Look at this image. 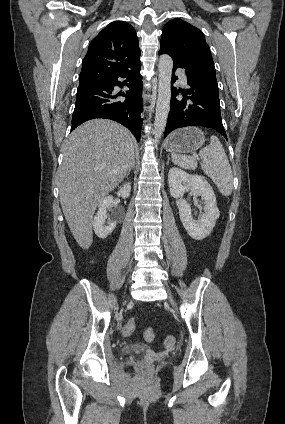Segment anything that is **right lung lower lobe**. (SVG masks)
<instances>
[{"instance_id": "1", "label": "right lung lower lobe", "mask_w": 285, "mask_h": 424, "mask_svg": "<svg viewBox=\"0 0 285 424\" xmlns=\"http://www.w3.org/2000/svg\"><path fill=\"white\" fill-rule=\"evenodd\" d=\"M140 66L141 63L124 73L79 84L71 131L87 120L106 118L127 127L137 141H140L143 105ZM120 77L124 78L126 83L118 81ZM123 84H126L129 90L114 94V87H122ZM118 96L125 97V100H118Z\"/></svg>"}]
</instances>
